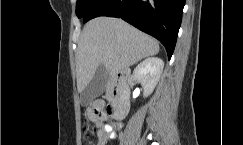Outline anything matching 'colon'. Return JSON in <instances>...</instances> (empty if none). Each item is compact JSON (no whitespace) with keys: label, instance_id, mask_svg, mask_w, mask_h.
<instances>
[{"label":"colon","instance_id":"colon-1","mask_svg":"<svg viewBox=\"0 0 243 145\" xmlns=\"http://www.w3.org/2000/svg\"><path fill=\"white\" fill-rule=\"evenodd\" d=\"M90 112L94 113L95 115H99V113L96 110L91 109ZM89 119L92 120L88 115V118L85 119L86 125L83 130V135L86 138H89L91 135H93L96 132V128H97L96 124H98V121L92 120L94 125H90Z\"/></svg>","mask_w":243,"mask_h":145}]
</instances>
